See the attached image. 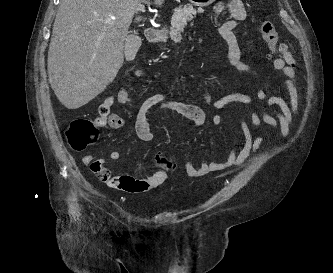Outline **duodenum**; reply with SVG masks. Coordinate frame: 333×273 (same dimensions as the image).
Segmentation results:
<instances>
[{
	"instance_id": "obj_1",
	"label": "duodenum",
	"mask_w": 333,
	"mask_h": 273,
	"mask_svg": "<svg viewBox=\"0 0 333 273\" xmlns=\"http://www.w3.org/2000/svg\"><path fill=\"white\" fill-rule=\"evenodd\" d=\"M159 28L155 27H149L145 31V36L149 41H157L158 40V35H159Z\"/></svg>"
}]
</instances>
